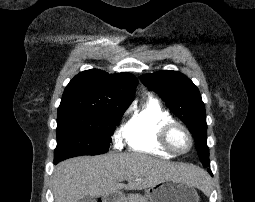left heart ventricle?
Instances as JSON below:
<instances>
[{
    "instance_id": "left-heart-ventricle-1",
    "label": "left heart ventricle",
    "mask_w": 255,
    "mask_h": 202,
    "mask_svg": "<svg viewBox=\"0 0 255 202\" xmlns=\"http://www.w3.org/2000/svg\"><path fill=\"white\" fill-rule=\"evenodd\" d=\"M170 142L172 146L178 151H185L189 147V139L184 131L175 129L171 136Z\"/></svg>"
}]
</instances>
